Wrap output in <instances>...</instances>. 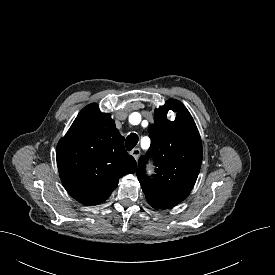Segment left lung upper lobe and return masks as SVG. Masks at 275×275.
<instances>
[{"label":"left lung upper lobe","instance_id":"left-lung-upper-lobe-1","mask_svg":"<svg viewBox=\"0 0 275 275\" xmlns=\"http://www.w3.org/2000/svg\"><path fill=\"white\" fill-rule=\"evenodd\" d=\"M169 110L177 113L174 121L167 119ZM148 132L151 145L140 157L137 171L145 197L186 199L197 180L203 156L202 141L191 114L180 101L170 99L155 110L154 124ZM150 158L157 167L152 179L145 174Z\"/></svg>","mask_w":275,"mask_h":275}]
</instances>
